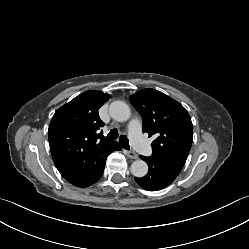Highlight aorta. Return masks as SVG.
<instances>
[{
	"instance_id": "aorta-1",
	"label": "aorta",
	"mask_w": 249,
	"mask_h": 249,
	"mask_svg": "<svg viewBox=\"0 0 249 249\" xmlns=\"http://www.w3.org/2000/svg\"><path fill=\"white\" fill-rule=\"evenodd\" d=\"M109 113L118 122H125L130 118L129 106L123 101H114L110 104ZM131 173L138 178L144 177L148 173V165L143 160H136L131 165Z\"/></svg>"
}]
</instances>
